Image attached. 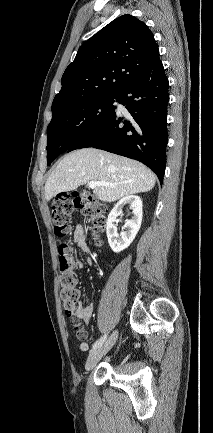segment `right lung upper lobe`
<instances>
[{"mask_svg": "<svg viewBox=\"0 0 213 433\" xmlns=\"http://www.w3.org/2000/svg\"><path fill=\"white\" fill-rule=\"evenodd\" d=\"M158 58L154 36L142 21L128 14L116 18L79 48L62 76L52 114L91 97L121 95Z\"/></svg>", "mask_w": 213, "mask_h": 433, "instance_id": "cb5924a9", "label": "right lung upper lobe"}]
</instances>
